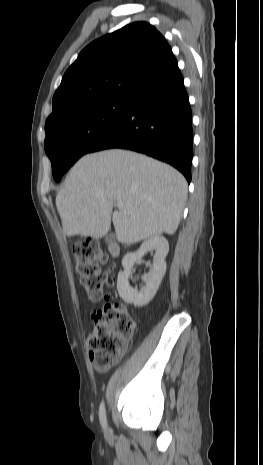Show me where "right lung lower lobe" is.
I'll use <instances>...</instances> for the list:
<instances>
[{
    "label": "right lung lower lobe",
    "instance_id": "98d812e1",
    "mask_svg": "<svg viewBox=\"0 0 263 465\" xmlns=\"http://www.w3.org/2000/svg\"><path fill=\"white\" fill-rule=\"evenodd\" d=\"M192 112L177 67L131 96L124 118L90 152L123 148L141 152L177 168L191 181Z\"/></svg>",
    "mask_w": 263,
    "mask_h": 465
}]
</instances>
